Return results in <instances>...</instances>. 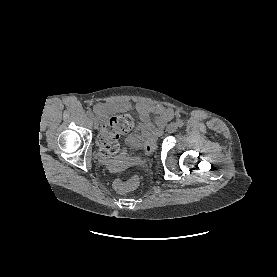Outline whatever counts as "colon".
<instances>
[{
  "label": "colon",
  "instance_id": "obj_1",
  "mask_svg": "<svg viewBox=\"0 0 277 277\" xmlns=\"http://www.w3.org/2000/svg\"><path fill=\"white\" fill-rule=\"evenodd\" d=\"M135 121L131 115H118L112 117L109 122L102 127L98 134L97 143L100 153L109 158L121 156L124 152L119 144V138L129 133L134 127ZM155 146L150 144L147 146V152H151ZM138 182L136 180L126 181L124 179H116L113 182V188L118 193H130L137 189Z\"/></svg>",
  "mask_w": 277,
  "mask_h": 277
}]
</instances>
